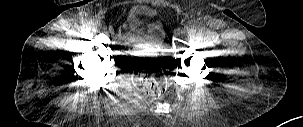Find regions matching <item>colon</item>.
<instances>
[{
	"label": "colon",
	"mask_w": 303,
	"mask_h": 127,
	"mask_svg": "<svg viewBox=\"0 0 303 127\" xmlns=\"http://www.w3.org/2000/svg\"><path fill=\"white\" fill-rule=\"evenodd\" d=\"M166 68L164 60L135 62L134 75L137 88L151 97H162L167 90Z\"/></svg>",
	"instance_id": "colon-1"
}]
</instances>
